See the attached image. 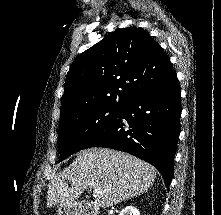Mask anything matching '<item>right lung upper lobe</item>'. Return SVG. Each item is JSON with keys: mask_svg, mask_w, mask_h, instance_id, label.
<instances>
[{"mask_svg": "<svg viewBox=\"0 0 221 215\" xmlns=\"http://www.w3.org/2000/svg\"><path fill=\"white\" fill-rule=\"evenodd\" d=\"M172 71L169 57L146 31L119 29L73 61L65 80L60 119L92 108L119 109Z\"/></svg>", "mask_w": 221, "mask_h": 215, "instance_id": "right-lung-upper-lobe-1", "label": "right lung upper lobe"}]
</instances>
